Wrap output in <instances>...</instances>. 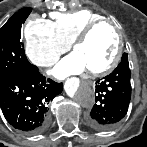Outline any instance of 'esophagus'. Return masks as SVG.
Masks as SVG:
<instances>
[{
  "label": "esophagus",
  "instance_id": "obj_1",
  "mask_svg": "<svg viewBox=\"0 0 147 147\" xmlns=\"http://www.w3.org/2000/svg\"><path fill=\"white\" fill-rule=\"evenodd\" d=\"M91 86H93L94 84H93V82L92 81H90V82H88Z\"/></svg>",
  "mask_w": 147,
  "mask_h": 147
}]
</instances>
